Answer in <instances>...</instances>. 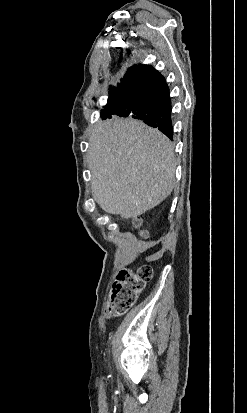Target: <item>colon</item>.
Here are the masks:
<instances>
[{
    "label": "colon",
    "instance_id": "obj_1",
    "mask_svg": "<svg viewBox=\"0 0 247 413\" xmlns=\"http://www.w3.org/2000/svg\"><path fill=\"white\" fill-rule=\"evenodd\" d=\"M140 224L138 219L133 221L135 228H138ZM140 234L148 236L149 232L141 230ZM152 277L153 268L149 264L124 269L118 276V280L112 284L109 313L111 315L125 314L135 304L138 296L144 292Z\"/></svg>",
    "mask_w": 247,
    "mask_h": 413
}]
</instances>
